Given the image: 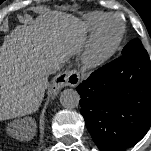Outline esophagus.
<instances>
[{"instance_id": "34e87169", "label": "esophagus", "mask_w": 151, "mask_h": 151, "mask_svg": "<svg viewBox=\"0 0 151 151\" xmlns=\"http://www.w3.org/2000/svg\"><path fill=\"white\" fill-rule=\"evenodd\" d=\"M80 81V74L77 70H69L57 75L51 82L50 90L53 94H58L59 91L66 86H75Z\"/></svg>"}]
</instances>
